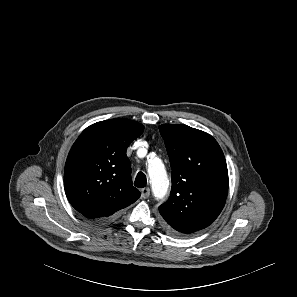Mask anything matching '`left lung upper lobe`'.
<instances>
[{"instance_id": "5c2ea615", "label": "left lung upper lobe", "mask_w": 297, "mask_h": 297, "mask_svg": "<svg viewBox=\"0 0 297 297\" xmlns=\"http://www.w3.org/2000/svg\"><path fill=\"white\" fill-rule=\"evenodd\" d=\"M172 168V189L159 207L168 229L187 235L209 226L228 193L224 154L209 134L183 124L159 127Z\"/></svg>"}]
</instances>
